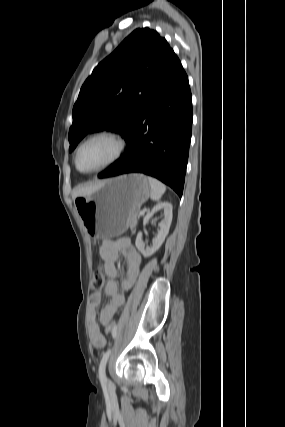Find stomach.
Here are the masks:
<instances>
[{"label":"stomach","mask_w":285,"mask_h":427,"mask_svg":"<svg viewBox=\"0 0 285 427\" xmlns=\"http://www.w3.org/2000/svg\"><path fill=\"white\" fill-rule=\"evenodd\" d=\"M150 192L146 176L122 175L106 180L90 195L75 198L74 206L91 236L109 239L131 225Z\"/></svg>","instance_id":"1"}]
</instances>
